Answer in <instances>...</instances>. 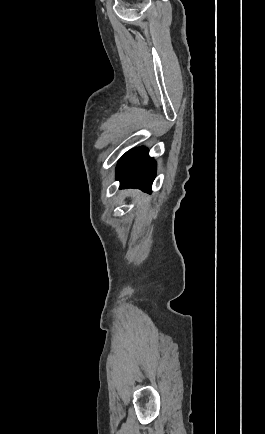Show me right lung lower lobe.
Masks as SVG:
<instances>
[{
  "instance_id": "98d812e1",
  "label": "right lung lower lobe",
  "mask_w": 265,
  "mask_h": 434,
  "mask_svg": "<svg viewBox=\"0 0 265 434\" xmlns=\"http://www.w3.org/2000/svg\"><path fill=\"white\" fill-rule=\"evenodd\" d=\"M155 172L156 163L149 157L148 150L139 147L123 155L117 167L116 177L120 180V188H140L150 193Z\"/></svg>"
}]
</instances>
